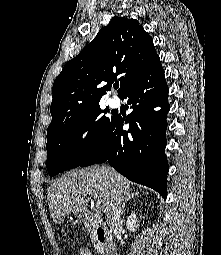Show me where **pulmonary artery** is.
<instances>
[{"label":"pulmonary artery","mask_w":221,"mask_h":255,"mask_svg":"<svg viewBox=\"0 0 221 255\" xmlns=\"http://www.w3.org/2000/svg\"><path fill=\"white\" fill-rule=\"evenodd\" d=\"M108 102L112 107H115L118 104V99L116 97H111L109 98Z\"/></svg>","instance_id":"1"}]
</instances>
